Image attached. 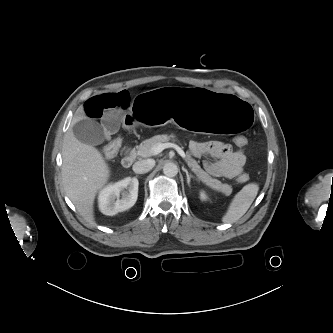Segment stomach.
Segmentation results:
<instances>
[{
	"instance_id": "stomach-1",
	"label": "stomach",
	"mask_w": 333,
	"mask_h": 333,
	"mask_svg": "<svg viewBox=\"0 0 333 333\" xmlns=\"http://www.w3.org/2000/svg\"><path fill=\"white\" fill-rule=\"evenodd\" d=\"M132 107L131 124L160 127L172 122L182 129L217 136L245 135L254 120V111L248 102L186 86L138 94Z\"/></svg>"
}]
</instances>
